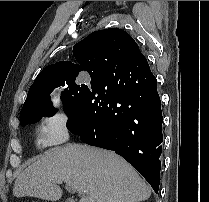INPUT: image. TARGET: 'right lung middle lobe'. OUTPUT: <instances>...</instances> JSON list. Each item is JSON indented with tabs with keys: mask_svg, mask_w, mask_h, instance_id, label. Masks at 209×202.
<instances>
[{
	"mask_svg": "<svg viewBox=\"0 0 209 202\" xmlns=\"http://www.w3.org/2000/svg\"><path fill=\"white\" fill-rule=\"evenodd\" d=\"M76 77L77 75H66L49 79L35 95L41 103L31 105L29 109L21 112L20 119L26 122L21 126L36 123L44 116L51 117L55 114L56 110L52 106L50 94L56 87L60 86H65L61 100L68 120L79 115L85 100L94 90L96 79L91 78L90 84H77L75 82Z\"/></svg>",
	"mask_w": 209,
	"mask_h": 202,
	"instance_id": "dd1d6c3e",
	"label": "right lung middle lobe"
}]
</instances>
